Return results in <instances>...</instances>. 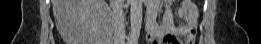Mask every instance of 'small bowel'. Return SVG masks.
Here are the masks:
<instances>
[{
  "label": "small bowel",
  "instance_id": "1",
  "mask_svg": "<svg viewBox=\"0 0 261 44\" xmlns=\"http://www.w3.org/2000/svg\"><path fill=\"white\" fill-rule=\"evenodd\" d=\"M160 2L153 1L148 9V18L151 26L148 31V38L154 44H193L198 26V8L192 6H180L177 12L172 9L169 3L162 17V23H157V13ZM185 19L184 25L177 24L178 19Z\"/></svg>",
  "mask_w": 261,
  "mask_h": 44
}]
</instances>
